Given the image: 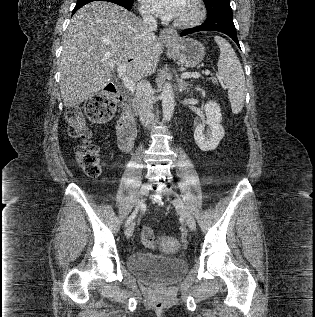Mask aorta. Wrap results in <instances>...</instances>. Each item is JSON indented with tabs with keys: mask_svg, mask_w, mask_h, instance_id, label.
Masks as SVG:
<instances>
[{
	"mask_svg": "<svg viewBox=\"0 0 315 317\" xmlns=\"http://www.w3.org/2000/svg\"><path fill=\"white\" fill-rule=\"evenodd\" d=\"M162 110L165 121L169 122L174 113V90L172 84L169 82L164 83L162 87Z\"/></svg>",
	"mask_w": 315,
	"mask_h": 317,
	"instance_id": "1",
	"label": "aorta"
}]
</instances>
